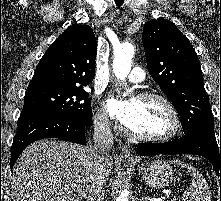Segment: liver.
<instances>
[{"label":"liver","mask_w":221,"mask_h":201,"mask_svg":"<svg viewBox=\"0 0 221 201\" xmlns=\"http://www.w3.org/2000/svg\"><path fill=\"white\" fill-rule=\"evenodd\" d=\"M90 147L55 139L30 144L12 173V201H81L90 188ZM113 159L110 156L107 176Z\"/></svg>","instance_id":"6515ba94"}]
</instances>
